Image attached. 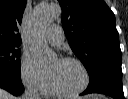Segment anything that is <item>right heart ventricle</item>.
<instances>
[{
	"label": "right heart ventricle",
	"instance_id": "e07e8e85",
	"mask_svg": "<svg viewBox=\"0 0 128 99\" xmlns=\"http://www.w3.org/2000/svg\"><path fill=\"white\" fill-rule=\"evenodd\" d=\"M44 91H45L46 94H50V95L53 94V92H52L50 86L48 85V83L46 84V86L44 88Z\"/></svg>",
	"mask_w": 128,
	"mask_h": 99
}]
</instances>
